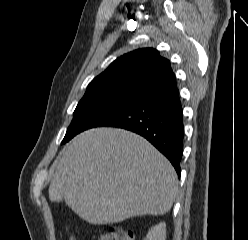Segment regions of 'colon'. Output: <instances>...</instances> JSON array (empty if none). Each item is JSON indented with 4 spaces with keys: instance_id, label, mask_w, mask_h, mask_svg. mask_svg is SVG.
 I'll list each match as a JSON object with an SVG mask.
<instances>
[{
    "instance_id": "1",
    "label": "colon",
    "mask_w": 248,
    "mask_h": 240,
    "mask_svg": "<svg viewBox=\"0 0 248 240\" xmlns=\"http://www.w3.org/2000/svg\"><path fill=\"white\" fill-rule=\"evenodd\" d=\"M69 240H76L70 237ZM101 240H134L133 235L118 226H111L101 237Z\"/></svg>"
}]
</instances>
